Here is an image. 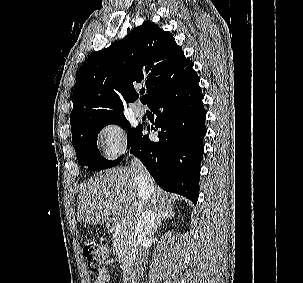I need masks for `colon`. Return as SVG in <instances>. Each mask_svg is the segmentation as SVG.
Instances as JSON below:
<instances>
[{
    "instance_id": "1",
    "label": "colon",
    "mask_w": 303,
    "mask_h": 283,
    "mask_svg": "<svg viewBox=\"0 0 303 283\" xmlns=\"http://www.w3.org/2000/svg\"><path fill=\"white\" fill-rule=\"evenodd\" d=\"M83 253L91 271L100 272L110 256V246L101 242L88 241L83 246Z\"/></svg>"
}]
</instances>
